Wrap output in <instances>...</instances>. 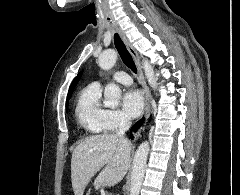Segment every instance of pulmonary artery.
I'll return each mask as SVG.
<instances>
[{
	"label": "pulmonary artery",
	"instance_id": "obj_1",
	"mask_svg": "<svg viewBox=\"0 0 240 195\" xmlns=\"http://www.w3.org/2000/svg\"><path fill=\"white\" fill-rule=\"evenodd\" d=\"M115 80H117L118 82L123 83V84H130L131 83V79L129 78L128 75L125 74L124 71H119L115 75Z\"/></svg>",
	"mask_w": 240,
	"mask_h": 195
}]
</instances>
